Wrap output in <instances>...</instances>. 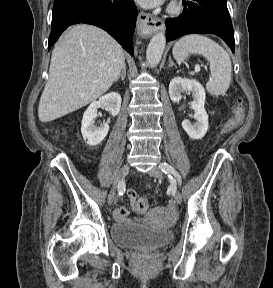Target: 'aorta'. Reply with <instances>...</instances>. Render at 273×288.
Returning a JSON list of instances; mask_svg holds the SVG:
<instances>
[{
	"mask_svg": "<svg viewBox=\"0 0 273 288\" xmlns=\"http://www.w3.org/2000/svg\"><path fill=\"white\" fill-rule=\"evenodd\" d=\"M166 45V37L164 33L155 34L147 47L146 60L151 68H154L160 62Z\"/></svg>",
	"mask_w": 273,
	"mask_h": 288,
	"instance_id": "aorta-1",
	"label": "aorta"
}]
</instances>
